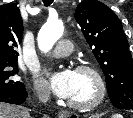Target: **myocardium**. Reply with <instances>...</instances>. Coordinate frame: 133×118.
Returning a JSON list of instances; mask_svg holds the SVG:
<instances>
[{"label":"myocardium","instance_id":"f54148a6","mask_svg":"<svg viewBox=\"0 0 133 118\" xmlns=\"http://www.w3.org/2000/svg\"><path fill=\"white\" fill-rule=\"evenodd\" d=\"M76 72L87 73L93 78L96 86V94L90 101L86 103H79L69 100L68 105L77 111H90L99 106L105 99L106 84L104 78L99 70L91 65H80L76 68Z\"/></svg>","mask_w":133,"mask_h":118}]
</instances>
